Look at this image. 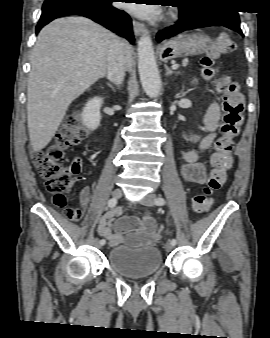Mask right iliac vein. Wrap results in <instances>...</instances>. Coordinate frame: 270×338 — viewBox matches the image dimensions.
<instances>
[{
    "label": "right iliac vein",
    "mask_w": 270,
    "mask_h": 338,
    "mask_svg": "<svg viewBox=\"0 0 270 338\" xmlns=\"http://www.w3.org/2000/svg\"><path fill=\"white\" fill-rule=\"evenodd\" d=\"M122 196V191L120 189H114L113 192H112V197L115 198V199H119L120 197ZM93 243L96 247H100L101 244L98 240V238H95L93 240Z\"/></svg>",
    "instance_id": "63e3f726"
}]
</instances>
